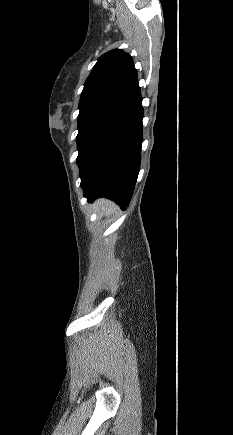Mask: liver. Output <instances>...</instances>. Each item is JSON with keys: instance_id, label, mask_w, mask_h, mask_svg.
Segmentation results:
<instances>
[{"instance_id": "obj_1", "label": "liver", "mask_w": 233, "mask_h": 435, "mask_svg": "<svg viewBox=\"0 0 233 435\" xmlns=\"http://www.w3.org/2000/svg\"><path fill=\"white\" fill-rule=\"evenodd\" d=\"M96 207L98 211L106 213V215L113 213L117 209L113 202L106 199H100L97 201Z\"/></svg>"}]
</instances>
